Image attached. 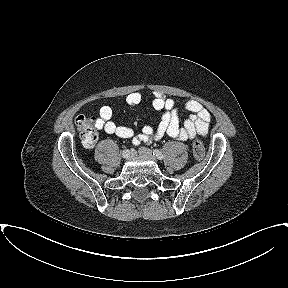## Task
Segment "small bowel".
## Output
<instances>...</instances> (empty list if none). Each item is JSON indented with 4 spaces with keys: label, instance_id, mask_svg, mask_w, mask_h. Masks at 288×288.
<instances>
[{
    "label": "small bowel",
    "instance_id": "1",
    "mask_svg": "<svg viewBox=\"0 0 288 288\" xmlns=\"http://www.w3.org/2000/svg\"><path fill=\"white\" fill-rule=\"evenodd\" d=\"M141 100L142 95L139 92H132L126 97V102L132 106L138 105ZM151 104L155 110L163 111L161 121L156 129L151 126H144L141 133L135 135L131 128L117 125L112 121L113 111L109 106L101 107L96 119V127L108 134L124 139H132L134 145H139L142 142L149 143L165 135L179 141L192 140L197 135H207L211 116L208 110L198 101L188 100L185 102L184 108L191 115L183 124L180 123L178 107L174 100L166 98L162 94H157L152 99Z\"/></svg>",
    "mask_w": 288,
    "mask_h": 288
}]
</instances>
